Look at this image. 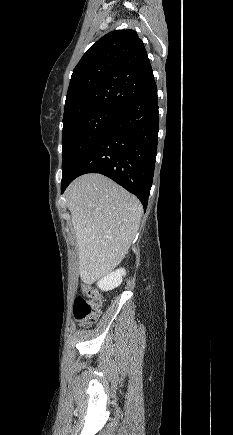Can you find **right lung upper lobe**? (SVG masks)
<instances>
[{
	"label": "right lung upper lobe",
	"mask_w": 233,
	"mask_h": 435,
	"mask_svg": "<svg viewBox=\"0 0 233 435\" xmlns=\"http://www.w3.org/2000/svg\"><path fill=\"white\" fill-rule=\"evenodd\" d=\"M144 44L133 30H115L99 39L71 76L63 121L111 107L122 110L154 82Z\"/></svg>",
	"instance_id": "cb5924a9"
}]
</instances>
